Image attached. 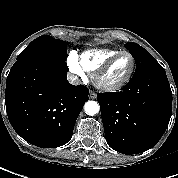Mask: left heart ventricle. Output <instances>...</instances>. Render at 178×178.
Wrapping results in <instances>:
<instances>
[{
    "label": "left heart ventricle",
    "instance_id": "b2bd125f",
    "mask_svg": "<svg viewBox=\"0 0 178 178\" xmlns=\"http://www.w3.org/2000/svg\"><path fill=\"white\" fill-rule=\"evenodd\" d=\"M132 60L128 55L119 57L103 74L101 81L105 84H114L121 81L129 73Z\"/></svg>",
    "mask_w": 178,
    "mask_h": 178
}]
</instances>
